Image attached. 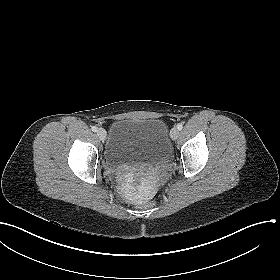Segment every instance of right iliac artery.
I'll return each mask as SVG.
<instances>
[{"instance_id":"obj_1","label":"right iliac artery","mask_w":280,"mask_h":280,"mask_svg":"<svg viewBox=\"0 0 280 280\" xmlns=\"http://www.w3.org/2000/svg\"><path fill=\"white\" fill-rule=\"evenodd\" d=\"M91 129H92L93 132H96V131H97V127H96V126H92Z\"/></svg>"}]
</instances>
